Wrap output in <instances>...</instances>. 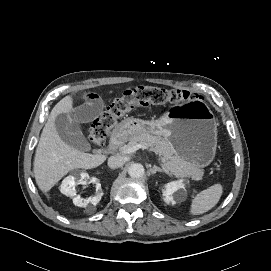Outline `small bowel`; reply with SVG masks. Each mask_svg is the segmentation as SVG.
Masks as SVG:
<instances>
[{
    "instance_id": "c3829d8e",
    "label": "small bowel",
    "mask_w": 271,
    "mask_h": 271,
    "mask_svg": "<svg viewBox=\"0 0 271 271\" xmlns=\"http://www.w3.org/2000/svg\"><path fill=\"white\" fill-rule=\"evenodd\" d=\"M63 105L61 106V108ZM145 115L151 112L150 105H136ZM102 110V99L96 93H88L85 102L57 115L53 122L54 128L60 135L76 148L84 147V138L80 125L96 118Z\"/></svg>"
}]
</instances>
